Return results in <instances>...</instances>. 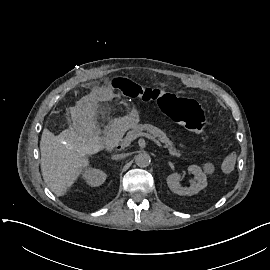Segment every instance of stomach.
I'll return each instance as SVG.
<instances>
[{"instance_id":"0dacf381","label":"stomach","mask_w":270,"mask_h":270,"mask_svg":"<svg viewBox=\"0 0 270 270\" xmlns=\"http://www.w3.org/2000/svg\"><path fill=\"white\" fill-rule=\"evenodd\" d=\"M147 109L149 110L150 108L147 106ZM141 112L142 109L133 107L122 120L123 128L130 129L139 124L141 121Z\"/></svg>"}]
</instances>
